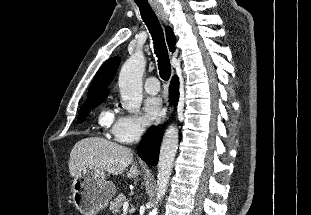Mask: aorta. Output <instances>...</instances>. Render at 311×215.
<instances>
[{
  "mask_svg": "<svg viewBox=\"0 0 311 215\" xmlns=\"http://www.w3.org/2000/svg\"><path fill=\"white\" fill-rule=\"evenodd\" d=\"M145 66L146 61L143 54L137 52L124 63L119 73L120 94L123 106L129 113L140 110L143 99L142 77ZM178 138V128L175 125L169 126L160 148L155 207L149 212V215H157L158 203L161 202L166 193L178 148Z\"/></svg>",
  "mask_w": 311,
  "mask_h": 215,
  "instance_id": "762f6f07",
  "label": "aorta"
}]
</instances>
